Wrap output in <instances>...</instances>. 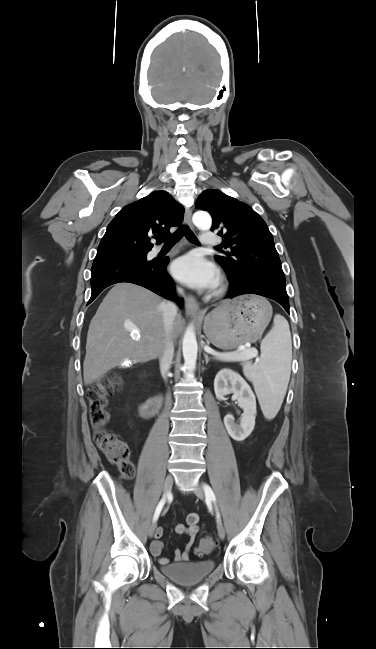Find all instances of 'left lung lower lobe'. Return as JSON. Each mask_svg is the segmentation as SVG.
<instances>
[{"mask_svg": "<svg viewBox=\"0 0 376 649\" xmlns=\"http://www.w3.org/2000/svg\"><path fill=\"white\" fill-rule=\"evenodd\" d=\"M230 282L233 290L225 298L231 299L244 294L261 295L278 302L290 314L284 281L263 272L250 271L242 280L234 282L230 279Z\"/></svg>", "mask_w": 376, "mask_h": 649, "instance_id": "left-lung-lower-lobe-1", "label": "left lung lower lobe"}]
</instances>
